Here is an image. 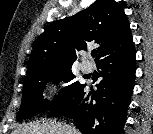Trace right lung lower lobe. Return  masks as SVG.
I'll return each mask as SVG.
<instances>
[{"mask_svg":"<svg viewBox=\"0 0 153 134\" xmlns=\"http://www.w3.org/2000/svg\"><path fill=\"white\" fill-rule=\"evenodd\" d=\"M103 80L94 92L85 85L65 103L50 110L48 117L72 118L82 134H124L136 71V52L131 41L97 62Z\"/></svg>","mask_w":153,"mask_h":134,"instance_id":"98d812e1","label":"right lung lower lobe"}]
</instances>
